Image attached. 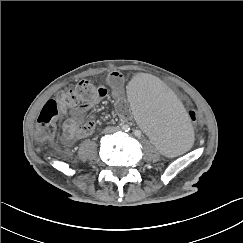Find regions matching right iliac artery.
<instances>
[{
	"mask_svg": "<svg viewBox=\"0 0 243 243\" xmlns=\"http://www.w3.org/2000/svg\"><path fill=\"white\" fill-rule=\"evenodd\" d=\"M122 129L125 131V132H128L130 130V127L128 125H123L122 126Z\"/></svg>",
	"mask_w": 243,
	"mask_h": 243,
	"instance_id": "1",
	"label": "right iliac artery"
}]
</instances>
